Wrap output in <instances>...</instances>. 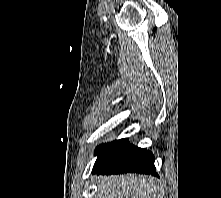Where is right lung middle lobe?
<instances>
[{
    "label": "right lung middle lobe",
    "instance_id": "1",
    "mask_svg": "<svg viewBox=\"0 0 221 198\" xmlns=\"http://www.w3.org/2000/svg\"><path fill=\"white\" fill-rule=\"evenodd\" d=\"M129 144L127 139L116 140L110 144L100 145L96 150L95 154L98 158L95 162L94 169H97L112 159L121 150H123Z\"/></svg>",
    "mask_w": 221,
    "mask_h": 198
}]
</instances>
